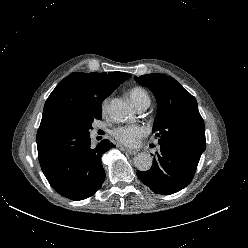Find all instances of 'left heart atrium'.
Listing matches in <instances>:
<instances>
[{"label": "left heart atrium", "mask_w": 248, "mask_h": 248, "mask_svg": "<svg viewBox=\"0 0 248 248\" xmlns=\"http://www.w3.org/2000/svg\"><path fill=\"white\" fill-rule=\"evenodd\" d=\"M112 134L114 138L126 146H135L139 140L147 134V130L141 125H125L116 127Z\"/></svg>", "instance_id": "1"}]
</instances>
